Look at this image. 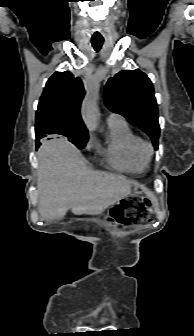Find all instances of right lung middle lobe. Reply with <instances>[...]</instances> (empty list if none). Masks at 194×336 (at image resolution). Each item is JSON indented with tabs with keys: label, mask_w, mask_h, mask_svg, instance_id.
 Instances as JSON below:
<instances>
[{
	"label": "right lung middle lobe",
	"mask_w": 194,
	"mask_h": 336,
	"mask_svg": "<svg viewBox=\"0 0 194 336\" xmlns=\"http://www.w3.org/2000/svg\"><path fill=\"white\" fill-rule=\"evenodd\" d=\"M66 137L69 139L70 142L76 145L79 149L84 148L88 141L87 134H71Z\"/></svg>",
	"instance_id": "1"
}]
</instances>
